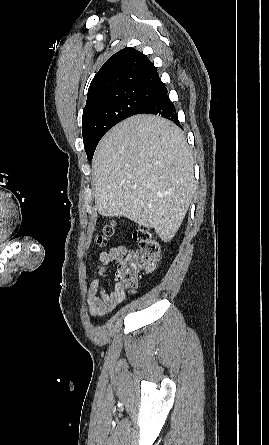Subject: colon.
<instances>
[{"mask_svg": "<svg viewBox=\"0 0 269 445\" xmlns=\"http://www.w3.org/2000/svg\"><path fill=\"white\" fill-rule=\"evenodd\" d=\"M113 232L114 224L106 225L102 234L97 237L98 246H104ZM134 239L138 248L119 263L115 274L116 288L122 291L135 287L138 272L140 270H152L160 257V245L149 229L139 228L134 233Z\"/></svg>", "mask_w": 269, "mask_h": 445, "instance_id": "1", "label": "colon"}]
</instances>
